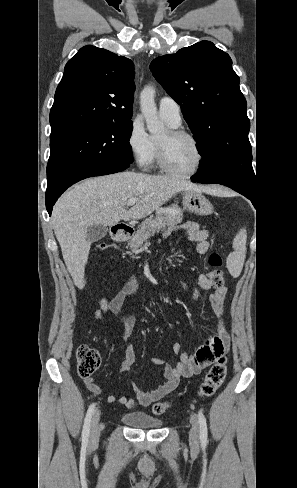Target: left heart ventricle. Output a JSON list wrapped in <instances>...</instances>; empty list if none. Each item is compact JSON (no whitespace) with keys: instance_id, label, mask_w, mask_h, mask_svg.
Returning <instances> with one entry per match:
<instances>
[{"instance_id":"left-heart-ventricle-1","label":"left heart ventricle","mask_w":297,"mask_h":488,"mask_svg":"<svg viewBox=\"0 0 297 488\" xmlns=\"http://www.w3.org/2000/svg\"><path fill=\"white\" fill-rule=\"evenodd\" d=\"M167 149V159L172 168L178 171H189L197 162V150L187 138H172L167 132L160 140Z\"/></svg>"}]
</instances>
